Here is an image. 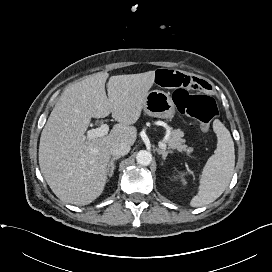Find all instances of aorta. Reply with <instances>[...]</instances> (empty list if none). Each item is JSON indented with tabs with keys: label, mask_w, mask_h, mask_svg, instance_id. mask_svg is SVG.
I'll use <instances>...</instances> for the list:
<instances>
[{
	"label": "aorta",
	"mask_w": 272,
	"mask_h": 272,
	"mask_svg": "<svg viewBox=\"0 0 272 272\" xmlns=\"http://www.w3.org/2000/svg\"><path fill=\"white\" fill-rule=\"evenodd\" d=\"M137 163L142 166H148L152 162V154L149 151L141 150L136 155Z\"/></svg>",
	"instance_id": "762f6f07"
}]
</instances>
